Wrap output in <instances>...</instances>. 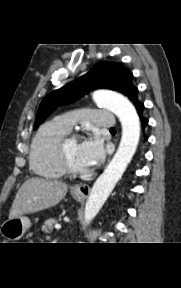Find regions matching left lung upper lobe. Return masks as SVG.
<instances>
[{
  "label": "left lung upper lobe",
  "mask_w": 181,
  "mask_h": 288,
  "mask_svg": "<svg viewBox=\"0 0 181 288\" xmlns=\"http://www.w3.org/2000/svg\"><path fill=\"white\" fill-rule=\"evenodd\" d=\"M132 77V73L125 69L121 63L108 61L98 63L87 74L58 90L52 91L43 99L37 113L34 129H37L57 106L75 101L94 89L115 90L131 99L138 91L132 85Z\"/></svg>",
  "instance_id": "left-lung-upper-lobe-1"
}]
</instances>
